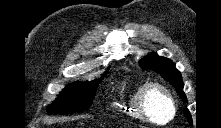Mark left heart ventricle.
<instances>
[{"mask_svg":"<svg viewBox=\"0 0 221 128\" xmlns=\"http://www.w3.org/2000/svg\"><path fill=\"white\" fill-rule=\"evenodd\" d=\"M152 116L157 122H164L170 116V107L161 95H154L149 103Z\"/></svg>","mask_w":221,"mask_h":128,"instance_id":"b2bd125f","label":"left heart ventricle"}]
</instances>
